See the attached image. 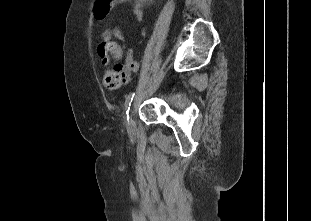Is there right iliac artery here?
Instances as JSON below:
<instances>
[{"instance_id":"obj_1","label":"right iliac artery","mask_w":311,"mask_h":221,"mask_svg":"<svg viewBox=\"0 0 311 221\" xmlns=\"http://www.w3.org/2000/svg\"><path fill=\"white\" fill-rule=\"evenodd\" d=\"M134 96H135V93H130L125 100V110H126L127 120L129 119L128 113H129V109H130Z\"/></svg>"}]
</instances>
